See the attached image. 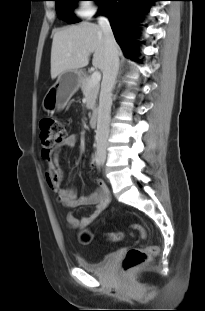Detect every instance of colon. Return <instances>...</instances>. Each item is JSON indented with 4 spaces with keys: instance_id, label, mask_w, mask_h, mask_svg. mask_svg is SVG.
Here are the masks:
<instances>
[{
    "instance_id": "obj_1",
    "label": "colon",
    "mask_w": 205,
    "mask_h": 311,
    "mask_svg": "<svg viewBox=\"0 0 205 311\" xmlns=\"http://www.w3.org/2000/svg\"><path fill=\"white\" fill-rule=\"evenodd\" d=\"M66 137L65 126L62 121L57 118H45L40 122V141L42 146V156L46 159L50 157L51 149L64 141ZM132 229L142 238L146 236L144 227L139 224H133ZM84 240L88 239V235L83 236ZM106 238L112 242H119L123 235L120 232H114L106 235ZM158 254V247L150 246L146 248L129 249L121 263L124 272H128L135 267L147 263L151 258Z\"/></svg>"
}]
</instances>
